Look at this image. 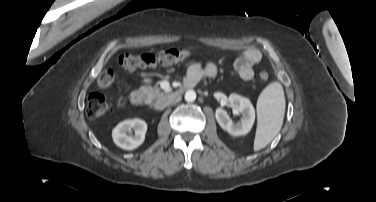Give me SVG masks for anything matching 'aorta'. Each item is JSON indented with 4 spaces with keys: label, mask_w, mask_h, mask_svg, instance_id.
I'll return each instance as SVG.
<instances>
[{
    "label": "aorta",
    "mask_w": 376,
    "mask_h": 202,
    "mask_svg": "<svg viewBox=\"0 0 376 202\" xmlns=\"http://www.w3.org/2000/svg\"><path fill=\"white\" fill-rule=\"evenodd\" d=\"M196 99V92L194 90H187L185 93V100L187 102H193Z\"/></svg>",
    "instance_id": "762f6f07"
}]
</instances>
